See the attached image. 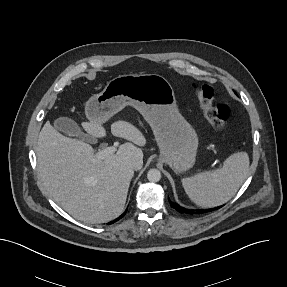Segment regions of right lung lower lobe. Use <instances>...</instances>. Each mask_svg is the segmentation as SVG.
<instances>
[{
  "label": "right lung lower lobe",
  "instance_id": "1",
  "mask_svg": "<svg viewBox=\"0 0 287 287\" xmlns=\"http://www.w3.org/2000/svg\"><path fill=\"white\" fill-rule=\"evenodd\" d=\"M125 213H126V212H125ZM125 213H124V214H122L119 218H117V219H115L114 221L110 222L109 224H112V223H114V222L118 221L119 219H121V218L125 215Z\"/></svg>",
  "mask_w": 287,
  "mask_h": 287
}]
</instances>
